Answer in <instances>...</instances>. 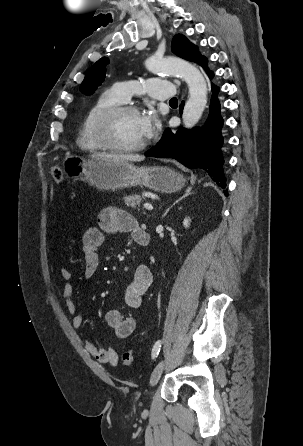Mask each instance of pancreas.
<instances>
[{"label": "pancreas", "instance_id": "1", "mask_svg": "<svg viewBox=\"0 0 303 446\" xmlns=\"http://www.w3.org/2000/svg\"><path fill=\"white\" fill-rule=\"evenodd\" d=\"M125 204L132 208H139L141 202L140 195H129L124 197Z\"/></svg>", "mask_w": 303, "mask_h": 446}]
</instances>
